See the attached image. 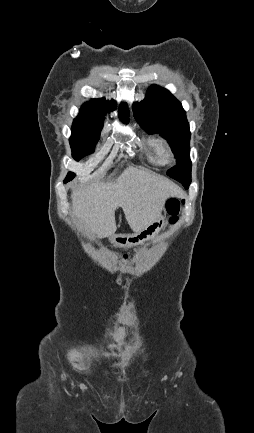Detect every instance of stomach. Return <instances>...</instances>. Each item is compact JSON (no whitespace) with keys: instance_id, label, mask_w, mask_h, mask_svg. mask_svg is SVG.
<instances>
[{"instance_id":"stomach-1","label":"stomach","mask_w":254,"mask_h":433,"mask_svg":"<svg viewBox=\"0 0 254 433\" xmlns=\"http://www.w3.org/2000/svg\"><path fill=\"white\" fill-rule=\"evenodd\" d=\"M164 225L165 217L160 214L158 218L151 222L145 229L135 234L113 235L110 240L115 246L122 248L137 246L157 237Z\"/></svg>"}]
</instances>
